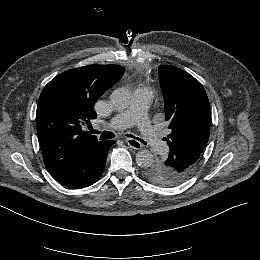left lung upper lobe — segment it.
I'll list each match as a JSON object with an SVG mask.
<instances>
[{
	"mask_svg": "<svg viewBox=\"0 0 260 260\" xmlns=\"http://www.w3.org/2000/svg\"><path fill=\"white\" fill-rule=\"evenodd\" d=\"M159 80L165 99L169 157L149 166L145 177L172 186L188 178L198 166L210 132V104L202 84L179 68L160 65Z\"/></svg>",
	"mask_w": 260,
	"mask_h": 260,
	"instance_id": "left-lung-upper-lobe-1",
	"label": "left lung upper lobe"
}]
</instances>
